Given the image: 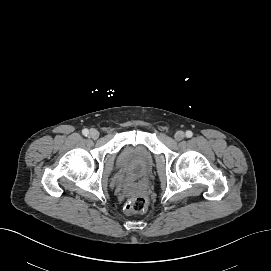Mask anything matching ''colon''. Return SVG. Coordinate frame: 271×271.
Segmentation results:
<instances>
[{
  "label": "colon",
  "mask_w": 271,
  "mask_h": 271,
  "mask_svg": "<svg viewBox=\"0 0 271 271\" xmlns=\"http://www.w3.org/2000/svg\"><path fill=\"white\" fill-rule=\"evenodd\" d=\"M148 207V200L144 196H137L129 200L125 205L128 213H143Z\"/></svg>",
  "instance_id": "obj_1"
}]
</instances>
